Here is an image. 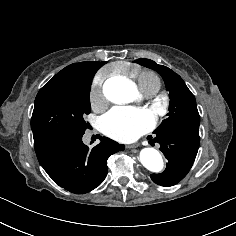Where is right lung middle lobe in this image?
I'll return each mask as SVG.
<instances>
[{"mask_svg": "<svg viewBox=\"0 0 236 236\" xmlns=\"http://www.w3.org/2000/svg\"><path fill=\"white\" fill-rule=\"evenodd\" d=\"M92 79L49 81L38 92L31 118L33 137L55 132L83 134L88 123L83 116L91 112Z\"/></svg>", "mask_w": 236, "mask_h": 236, "instance_id": "right-lung-middle-lobe-1", "label": "right lung middle lobe"}]
</instances>
